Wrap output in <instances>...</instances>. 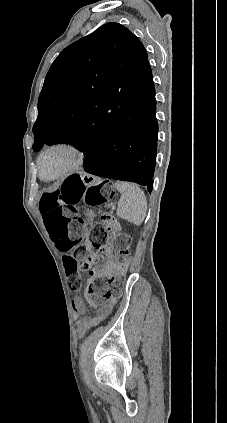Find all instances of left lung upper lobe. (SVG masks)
Segmentation results:
<instances>
[{
  "label": "left lung upper lobe",
  "mask_w": 227,
  "mask_h": 423,
  "mask_svg": "<svg viewBox=\"0 0 227 423\" xmlns=\"http://www.w3.org/2000/svg\"><path fill=\"white\" fill-rule=\"evenodd\" d=\"M153 85L140 40L121 24L101 26L51 65L38 99L33 150L95 133L109 112H141Z\"/></svg>",
  "instance_id": "1"
}]
</instances>
